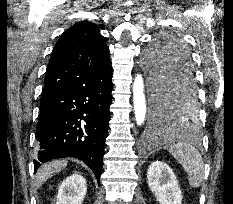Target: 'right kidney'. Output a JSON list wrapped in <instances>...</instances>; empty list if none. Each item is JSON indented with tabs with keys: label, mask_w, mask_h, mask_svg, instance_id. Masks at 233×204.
Wrapping results in <instances>:
<instances>
[{
	"label": "right kidney",
	"mask_w": 233,
	"mask_h": 204,
	"mask_svg": "<svg viewBox=\"0 0 233 204\" xmlns=\"http://www.w3.org/2000/svg\"><path fill=\"white\" fill-rule=\"evenodd\" d=\"M86 191V179L75 173L62 182L58 190L56 204H82Z\"/></svg>",
	"instance_id": "right-kidney-1"
}]
</instances>
